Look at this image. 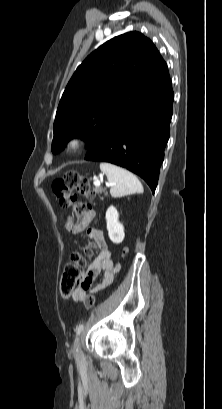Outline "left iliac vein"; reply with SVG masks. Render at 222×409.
Wrapping results in <instances>:
<instances>
[{"mask_svg":"<svg viewBox=\"0 0 222 409\" xmlns=\"http://www.w3.org/2000/svg\"><path fill=\"white\" fill-rule=\"evenodd\" d=\"M75 348H76L77 354L80 355L81 354V348H80V339L79 338L76 340Z\"/></svg>","mask_w":222,"mask_h":409,"instance_id":"left-iliac-vein-1","label":"left iliac vein"}]
</instances>
